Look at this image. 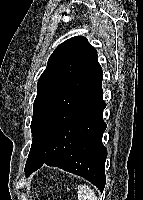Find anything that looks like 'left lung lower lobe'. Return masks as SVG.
<instances>
[{
	"mask_svg": "<svg viewBox=\"0 0 143 200\" xmlns=\"http://www.w3.org/2000/svg\"><path fill=\"white\" fill-rule=\"evenodd\" d=\"M102 79L96 56L37 114L27 176L46 164L82 176L103 191L107 149L102 144Z\"/></svg>",
	"mask_w": 143,
	"mask_h": 200,
	"instance_id": "1",
	"label": "left lung lower lobe"
}]
</instances>
